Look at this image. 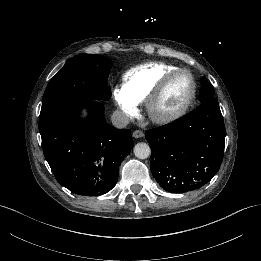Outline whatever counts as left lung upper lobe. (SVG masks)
<instances>
[{
    "label": "left lung upper lobe",
    "mask_w": 261,
    "mask_h": 261,
    "mask_svg": "<svg viewBox=\"0 0 261 261\" xmlns=\"http://www.w3.org/2000/svg\"><path fill=\"white\" fill-rule=\"evenodd\" d=\"M211 98H214V90L212 89L206 78L203 77L201 78V90L199 100L203 102Z\"/></svg>",
    "instance_id": "left-lung-upper-lobe-1"
}]
</instances>
